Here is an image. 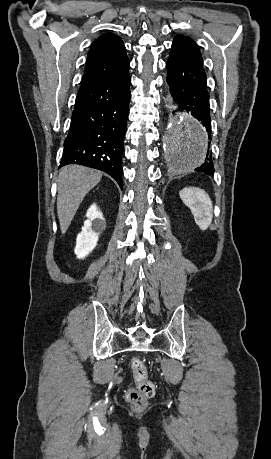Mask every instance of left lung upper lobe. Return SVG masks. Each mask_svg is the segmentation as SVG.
Returning <instances> with one entry per match:
<instances>
[{
	"instance_id": "left-lung-upper-lobe-1",
	"label": "left lung upper lobe",
	"mask_w": 271,
	"mask_h": 459,
	"mask_svg": "<svg viewBox=\"0 0 271 459\" xmlns=\"http://www.w3.org/2000/svg\"><path fill=\"white\" fill-rule=\"evenodd\" d=\"M169 59L203 67V59L198 46L187 36L178 35L174 38Z\"/></svg>"
}]
</instances>
